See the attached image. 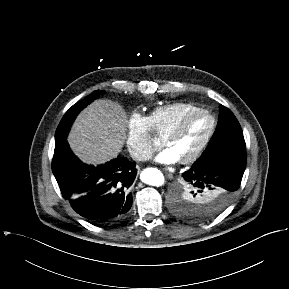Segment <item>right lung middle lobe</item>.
<instances>
[{"label":"right lung middle lobe","instance_id":"obj_1","mask_svg":"<svg viewBox=\"0 0 289 289\" xmlns=\"http://www.w3.org/2000/svg\"><path fill=\"white\" fill-rule=\"evenodd\" d=\"M100 93H103L101 90L94 91L91 95L83 99L82 101L74 104L64 115L61 122L58 125V128L55 133V143L64 139L67 136L69 128L77 116V114L89 103L98 97Z\"/></svg>","mask_w":289,"mask_h":289}]
</instances>
